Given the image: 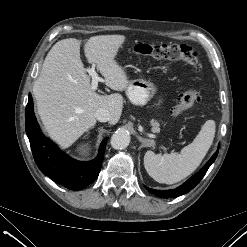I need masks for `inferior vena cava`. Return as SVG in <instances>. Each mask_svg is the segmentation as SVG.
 <instances>
[{"label":"inferior vena cava","instance_id":"inferior-vena-cava-1","mask_svg":"<svg viewBox=\"0 0 247 247\" xmlns=\"http://www.w3.org/2000/svg\"><path fill=\"white\" fill-rule=\"evenodd\" d=\"M95 117L100 122H108L111 119V113L106 109H98L95 112Z\"/></svg>","mask_w":247,"mask_h":247}]
</instances>
